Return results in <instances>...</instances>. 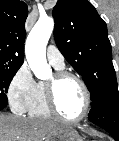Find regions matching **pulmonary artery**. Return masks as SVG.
<instances>
[{"label": "pulmonary artery", "instance_id": "e3ab8cb5", "mask_svg": "<svg viewBox=\"0 0 119 141\" xmlns=\"http://www.w3.org/2000/svg\"><path fill=\"white\" fill-rule=\"evenodd\" d=\"M46 57L49 63L54 67L62 68L65 65L63 55L54 45H49L47 47Z\"/></svg>", "mask_w": 119, "mask_h": 141}]
</instances>
